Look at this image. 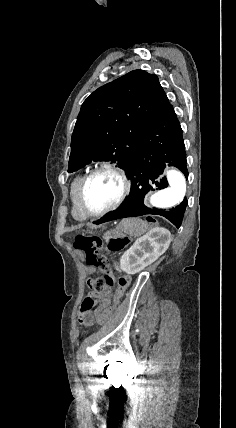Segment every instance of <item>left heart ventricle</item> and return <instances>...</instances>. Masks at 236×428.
Instances as JSON below:
<instances>
[{"label":"left heart ventricle","mask_w":236,"mask_h":428,"mask_svg":"<svg viewBox=\"0 0 236 428\" xmlns=\"http://www.w3.org/2000/svg\"><path fill=\"white\" fill-rule=\"evenodd\" d=\"M120 179L111 173H102L93 177L85 189L88 206L99 211L114 204L122 192Z\"/></svg>","instance_id":"b2bd125f"}]
</instances>
